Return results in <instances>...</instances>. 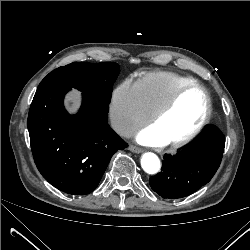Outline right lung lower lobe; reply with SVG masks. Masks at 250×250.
Wrapping results in <instances>:
<instances>
[{"label":"right lung lower lobe","mask_w":250,"mask_h":250,"mask_svg":"<svg viewBox=\"0 0 250 250\" xmlns=\"http://www.w3.org/2000/svg\"><path fill=\"white\" fill-rule=\"evenodd\" d=\"M65 85L36 91L28 115V130L35 164L56 188L86 195L99 184L114 153L127 144L109 127V103L83 93L76 115L63 106Z\"/></svg>","instance_id":"98d812e1"}]
</instances>
